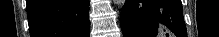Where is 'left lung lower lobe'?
<instances>
[{
	"label": "left lung lower lobe",
	"mask_w": 219,
	"mask_h": 37,
	"mask_svg": "<svg viewBox=\"0 0 219 37\" xmlns=\"http://www.w3.org/2000/svg\"><path fill=\"white\" fill-rule=\"evenodd\" d=\"M120 25L124 37H155L162 27L187 37L181 0H126Z\"/></svg>",
	"instance_id": "left-lung-lower-lobe-1"
}]
</instances>
